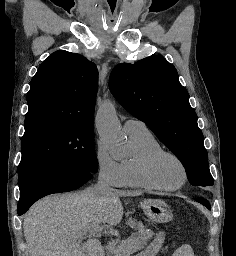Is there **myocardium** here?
Returning a JSON list of instances; mask_svg holds the SVG:
<instances>
[{"instance_id":"f54148a6","label":"myocardium","mask_w":236,"mask_h":256,"mask_svg":"<svg viewBox=\"0 0 236 256\" xmlns=\"http://www.w3.org/2000/svg\"><path fill=\"white\" fill-rule=\"evenodd\" d=\"M164 156H170L175 159L183 168L184 179L182 183L177 186H166L162 184L156 177L155 168L157 162ZM141 175L144 182L151 188L160 191H176L182 188L188 181L189 172L185 162L174 152L168 150H158L146 155L141 161Z\"/></svg>"}]
</instances>
